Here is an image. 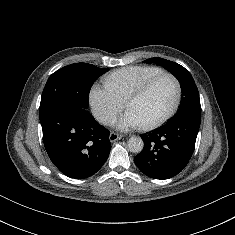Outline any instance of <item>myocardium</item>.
<instances>
[{
    "instance_id": "myocardium-1",
    "label": "myocardium",
    "mask_w": 235,
    "mask_h": 235,
    "mask_svg": "<svg viewBox=\"0 0 235 235\" xmlns=\"http://www.w3.org/2000/svg\"><path fill=\"white\" fill-rule=\"evenodd\" d=\"M163 78H169L174 82L175 88H176L175 100H174L171 108L162 117H160L159 119H157L151 123L142 125L141 127L144 130H153V129H156V128L162 126L168 120H170L174 116V114L177 112L178 107L181 102V97H182V87H181V83L178 80V78L176 76H174L173 74L167 73V72H162L160 74H157V75L151 77L149 80H147L136 91H134L127 98V100L125 102V106L128 109L132 102L143 97L157 81H159L160 79H163Z\"/></svg>"
}]
</instances>
